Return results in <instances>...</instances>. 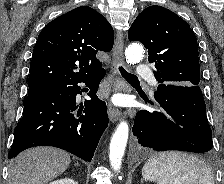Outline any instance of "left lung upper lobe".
Instances as JSON below:
<instances>
[{"mask_svg": "<svg viewBox=\"0 0 224 184\" xmlns=\"http://www.w3.org/2000/svg\"><path fill=\"white\" fill-rule=\"evenodd\" d=\"M128 38L140 41L148 50L159 83L199 86L197 39L178 15L161 6L147 7L131 25Z\"/></svg>", "mask_w": 224, "mask_h": 184, "instance_id": "1", "label": "left lung upper lobe"}]
</instances>
